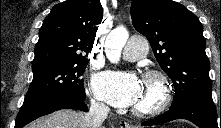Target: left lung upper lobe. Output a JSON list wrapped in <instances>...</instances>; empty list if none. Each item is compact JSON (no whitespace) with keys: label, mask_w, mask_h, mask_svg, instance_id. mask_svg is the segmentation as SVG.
Here are the masks:
<instances>
[{"label":"left lung upper lobe","mask_w":221,"mask_h":128,"mask_svg":"<svg viewBox=\"0 0 221 128\" xmlns=\"http://www.w3.org/2000/svg\"><path fill=\"white\" fill-rule=\"evenodd\" d=\"M131 22L152 47L161 68L173 81L170 109L192 99L212 100L206 41L198 18L172 0H133Z\"/></svg>","instance_id":"obj_1"}]
</instances>
